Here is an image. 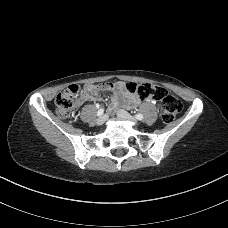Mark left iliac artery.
I'll use <instances>...</instances> for the list:
<instances>
[{
  "mask_svg": "<svg viewBox=\"0 0 228 228\" xmlns=\"http://www.w3.org/2000/svg\"><path fill=\"white\" fill-rule=\"evenodd\" d=\"M135 118H136L137 120H142L144 117H143L142 114L138 113V114L135 115Z\"/></svg>",
  "mask_w": 228,
  "mask_h": 228,
  "instance_id": "1",
  "label": "left iliac artery"
}]
</instances>
